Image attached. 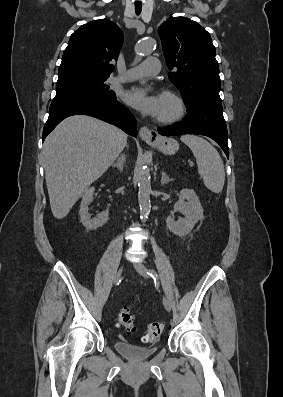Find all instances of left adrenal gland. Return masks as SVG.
<instances>
[{
    "label": "left adrenal gland",
    "instance_id": "left-adrenal-gland-1",
    "mask_svg": "<svg viewBox=\"0 0 283 397\" xmlns=\"http://www.w3.org/2000/svg\"><path fill=\"white\" fill-rule=\"evenodd\" d=\"M170 181H172V179H170L169 176L163 171L161 177V184L164 185L169 183Z\"/></svg>",
    "mask_w": 283,
    "mask_h": 397
}]
</instances>
